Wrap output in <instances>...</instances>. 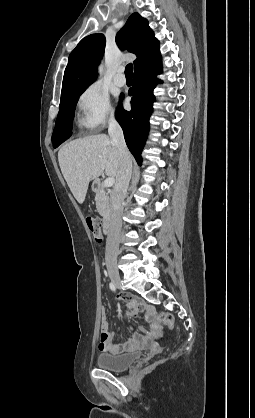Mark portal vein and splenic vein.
<instances>
[{"label":"portal vein and splenic vein","instance_id":"1","mask_svg":"<svg viewBox=\"0 0 255 418\" xmlns=\"http://www.w3.org/2000/svg\"><path fill=\"white\" fill-rule=\"evenodd\" d=\"M114 183H115L114 177H107L104 181V186L105 187H111V186L114 185Z\"/></svg>","mask_w":255,"mask_h":418}]
</instances>
